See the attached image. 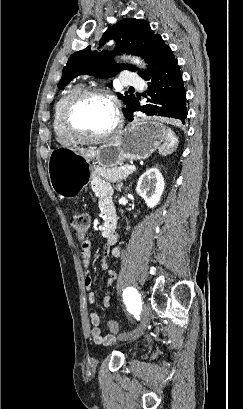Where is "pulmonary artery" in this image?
I'll list each match as a JSON object with an SVG mask.
<instances>
[{"label":"pulmonary artery","mask_w":243,"mask_h":409,"mask_svg":"<svg viewBox=\"0 0 243 409\" xmlns=\"http://www.w3.org/2000/svg\"><path fill=\"white\" fill-rule=\"evenodd\" d=\"M123 85L141 88L143 80L135 73L127 72L123 78Z\"/></svg>","instance_id":"1"}]
</instances>
